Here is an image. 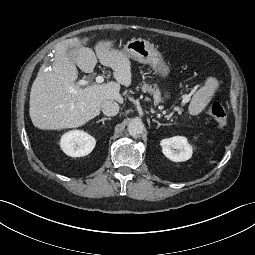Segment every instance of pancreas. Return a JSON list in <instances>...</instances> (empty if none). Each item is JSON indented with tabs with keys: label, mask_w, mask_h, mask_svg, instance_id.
I'll return each instance as SVG.
<instances>
[{
	"label": "pancreas",
	"mask_w": 255,
	"mask_h": 255,
	"mask_svg": "<svg viewBox=\"0 0 255 255\" xmlns=\"http://www.w3.org/2000/svg\"><path fill=\"white\" fill-rule=\"evenodd\" d=\"M139 88L144 93H146V92L150 93L154 98L155 104H159L160 102H162L161 91L159 90V88L157 87L156 84L149 85V84H146L145 82H143V84H141V87H139V86L137 87V89H139Z\"/></svg>",
	"instance_id": "cf45deb5"
}]
</instances>
